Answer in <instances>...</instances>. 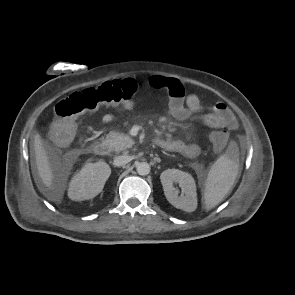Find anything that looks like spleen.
<instances>
[{"mask_svg": "<svg viewBox=\"0 0 295 295\" xmlns=\"http://www.w3.org/2000/svg\"><path fill=\"white\" fill-rule=\"evenodd\" d=\"M239 163L230 146L228 151L213 164L205 182L204 207L210 210L228 193L237 177Z\"/></svg>", "mask_w": 295, "mask_h": 295, "instance_id": "1", "label": "spleen"}]
</instances>
